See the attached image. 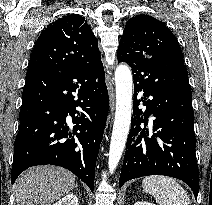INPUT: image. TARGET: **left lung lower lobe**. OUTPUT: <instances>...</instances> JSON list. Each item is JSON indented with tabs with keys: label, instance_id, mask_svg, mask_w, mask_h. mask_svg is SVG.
<instances>
[{
	"label": "left lung lower lobe",
	"instance_id": "left-lung-lower-lobe-1",
	"mask_svg": "<svg viewBox=\"0 0 212 205\" xmlns=\"http://www.w3.org/2000/svg\"><path fill=\"white\" fill-rule=\"evenodd\" d=\"M129 66L134 79V117L119 187L137 177L167 175L188 184L197 198L194 112L184 62L152 56ZM139 93H143L141 100H137ZM139 102L146 105L145 110L138 108ZM150 116L154 118L148 127Z\"/></svg>",
	"mask_w": 212,
	"mask_h": 205
}]
</instances>
